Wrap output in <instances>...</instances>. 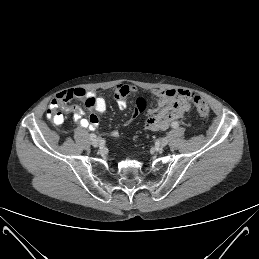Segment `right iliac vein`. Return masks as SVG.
Instances as JSON below:
<instances>
[{
	"mask_svg": "<svg viewBox=\"0 0 259 259\" xmlns=\"http://www.w3.org/2000/svg\"><path fill=\"white\" fill-rule=\"evenodd\" d=\"M92 145L94 147H98L100 145V139L99 138H95L92 140Z\"/></svg>",
	"mask_w": 259,
	"mask_h": 259,
	"instance_id": "right-iliac-vein-1",
	"label": "right iliac vein"
}]
</instances>
